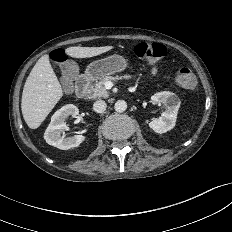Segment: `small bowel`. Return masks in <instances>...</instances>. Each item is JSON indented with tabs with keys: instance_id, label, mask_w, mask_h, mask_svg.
<instances>
[{
	"instance_id": "small-bowel-1",
	"label": "small bowel",
	"mask_w": 232,
	"mask_h": 232,
	"mask_svg": "<svg viewBox=\"0 0 232 232\" xmlns=\"http://www.w3.org/2000/svg\"><path fill=\"white\" fill-rule=\"evenodd\" d=\"M157 73H158V66L157 64H153L151 67V74L155 76L157 75Z\"/></svg>"
}]
</instances>
